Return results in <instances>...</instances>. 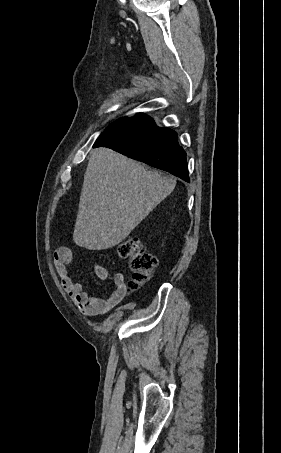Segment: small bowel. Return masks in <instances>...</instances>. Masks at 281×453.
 Segmentation results:
<instances>
[{
  "label": "small bowel",
  "instance_id": "obj_1",
  "mask_svg": "<svg viewBox=\"0 0 281 453\" xmlns=\"http://www.w3.org/2000/svg\"><path fill=\"white\" fill-rule=\"evenodd\" d=\"M74 258V252L68 248H61L55 252L54 262L63 287L78 302L84 304L83 311L87 317H95L111 310L115 305L123 301L128 292L125 282V274L117 272L114 275V288L106 299L89 297L83 286L75 282L69 274V266ZM93 273L98 279H108L110 271L98 263L92 264Z\"/></svg>",
  "mask_w": 281,
  "mask_h": 453
}]
</instances>
